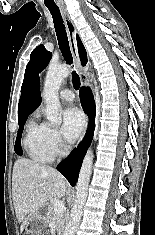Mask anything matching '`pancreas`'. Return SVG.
I'll return each mask as SVG.
<instances>
[{
    "label": "pancreas",
    "mask_w": 155,
    "mask_h": 235,
    "mask_svg": "<svg viewBox=\"0 0 155 235\" xmlns=\"http://www.w3.org/2000/svg\"><path fill=\"white\" fill-rule=\"evenodd\" d=\"M53 221H55L56 230L60 232L64 226V216L62 213L55 214L53 210V204H50L47 217H46V223L50 225Z\"/></svg>",
    "instance_id": "1"
}]
</instances>
